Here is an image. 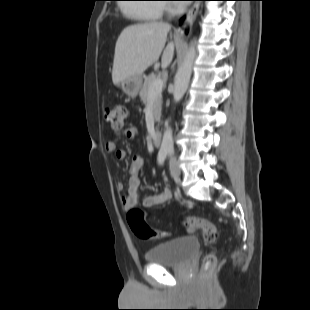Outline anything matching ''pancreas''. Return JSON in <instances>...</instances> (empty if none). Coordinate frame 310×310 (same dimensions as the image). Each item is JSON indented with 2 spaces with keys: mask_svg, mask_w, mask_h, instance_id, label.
I'll return each mask as SVG.
<instances>
[{
  "mask_svg": "<svg viewBox=\"0 0 310 310\" xmlns=\"http://www.w3.org/2000/svg\"><path fill=\"white\" fill-rule=\"evenodd\" d=\"M156 75L151 74L150 76L146 77L144 80V83L140 90V98L143 104L147 105L149 102V89L150 86L153 84V82L156 80ZM161 109H162V95L161 93H158L154 97L153 105H152V111L153 115L156 121L160 120L161 116Z\"/></svg>",
  "mask_w": 310,
  "mask_h": 310,
  "instance_id": "1",
  "label": "pancreas"
}]
</instances>
